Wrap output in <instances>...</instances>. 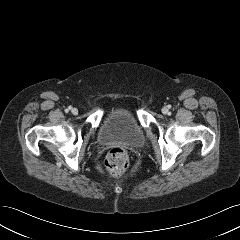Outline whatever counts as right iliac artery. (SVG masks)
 <instances>
[{"label": "right iliac artery", "mask_w": 240, "mask_h": 240, "mask_svg": "<svg viewBox=\"0 0 240 240\" xmlns=\"http://www.w3.org/2000/svg\"><path fill=\"white\" fill-rule=\"evenodd\" d=\"M72 107L71 106H69L67 109H66V112H68L70 109H71Z\"/></svg>", "instance_id": "right-iliac-artery-1"}]
</instances>
